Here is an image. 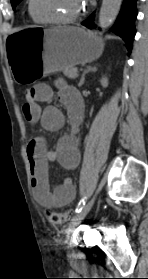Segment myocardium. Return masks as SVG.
Returning a JSON list of instances; mask_svg holds the SVG:
<instances>
[{
  "mask_svg": "<svg viewBox=\"0 0 148 279\" xmlns=\"http://www.w3.org/2000/svg\"><path fill=\"white\" fill-rule=\"evenodd\" d=\"M35 2H36V0H30V2H29L30 13L35 19H37L43 23L56 24V25L72 24V23L79 21L83 17L84 12H85V6L83 5L81 11L72 17H68V18L47 17V16L40 15L36 11Z\"/></svg>",
  "mask_w": 148,
  "mask_h": 279,
  "instance_id": "f54148a6",
  "label": "myocardium"
}]
</instances>
